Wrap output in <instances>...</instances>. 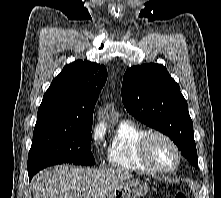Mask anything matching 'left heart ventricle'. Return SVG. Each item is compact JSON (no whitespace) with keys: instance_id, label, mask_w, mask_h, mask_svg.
Wrapping results in <instances>:
<instances>
[{"instance_id":"obj_1","label":"left heart ventricle","mask_w":221,"mask_h":198,"mask_svg":"<svg viewBox=\"0 0 221 198\" xmlns=\"http://www.w3.org/2000/svg\"><path fill=\"white\" fill-rule=\"evenodd\" d=\"M150 155L152 160L161 167H171L176 160V155L171 145L161 138H153L151 140Z\"/></svg>"}]
</instances>
